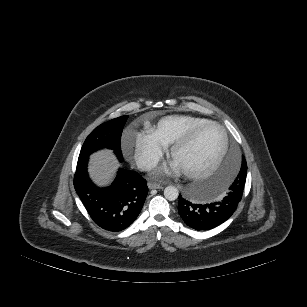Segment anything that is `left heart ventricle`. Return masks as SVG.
<instances>
[{"instance_id": "1", "label": "left heart ventricle", "mask_w": 307, "mask_h": 307, "mask_svg": "<svg viewBox=\"0 0 307 307\" xmlns=\"http://www.w3.org/2000/svg\"><path fill=\"white\" fill-rule=\"evenodd\" d=\"M221 131L215 126L202 129L186 147L179 150L174 164L182 171H196L208 167L222 146Z\"/></svg>"}]
</instances>
